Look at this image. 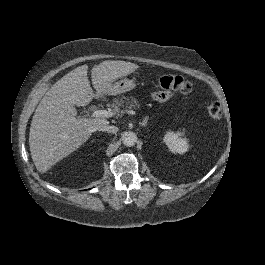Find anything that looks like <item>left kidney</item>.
Returning a JSON list of instances; mask_svg holds the SVG:
<instances>
[{
	"label": "left kidney",
	"instance_id": "left-kidney-1",
	"mask_svg": "<svg viewBox=\"0 0 265 265\" xmlns=\"http://www.w3.org/2000/svg\"><path fill=\"white\" fill-rule=\"evenodd\" d=\"M182 136H184V133L182 132L174 133L173 131H168L166 132L163 141L171 152L183 154L189 149V140Z\"/></svg>",
	"mask_w": 265,
	"mask_h": 265
}]
</instances>
